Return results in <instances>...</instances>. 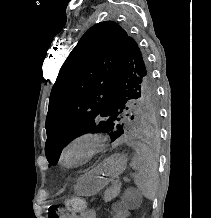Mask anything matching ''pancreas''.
<instances>
[{
    "label": "pancreas",
    "instance_id": "obj_1",
    "mask_svg": "<svg viewBox=\"0 0 211 218\" xmlns=\"http://www.w3.org/2000/svg\"><path fill=\"white\" fill-rule=\"evenodd\" d=\"M121 186V182H117V180L112 182L111 188H108V190L104 192L105 202H110V200H113V198H117L118 194H120Z\"/></svg>",
    "mask_w": 211,
    "mask_h": 218
}]
</instances>
